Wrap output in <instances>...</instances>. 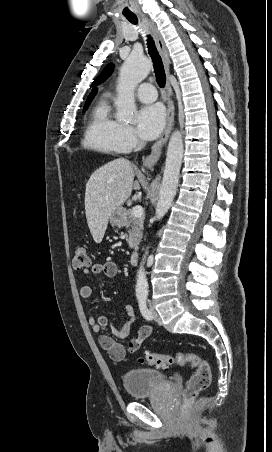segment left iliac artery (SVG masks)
I'll use <instances>...</instances> for the list:
<instances>
[{
	"label": "left iliac artery",
	"mask_w": 272,
	"mask_h": 452,
	"mask_svg": "<svg viewBox=\"0 0 272 452\" xmlns=\"http://www.w3.org/2000/svg\"><path fill=\"white\" fill-rule=\"evenodd\" d=\"M146 300L147 298L145 296L139 298V308L143 317L147 320H151V313L147 308Z\"/></svg>",
	"instance_id": "44dca946"
}]
</instances>
